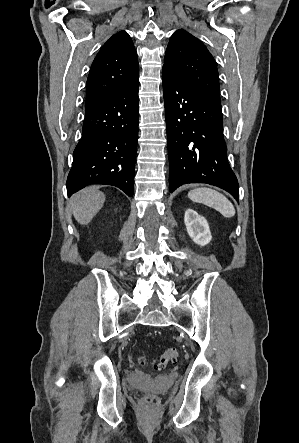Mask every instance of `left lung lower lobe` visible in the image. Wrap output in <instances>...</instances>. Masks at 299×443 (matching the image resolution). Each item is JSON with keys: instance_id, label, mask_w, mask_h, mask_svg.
<instances>
[{"instance_id": "0a47b994", "label": "left lung lower lobe", "mask_w": 299, "mask_h": 443, "mask_svg": "<svg viewBox=\"0 0 299 443\" xmlns=\"http://www.w3.org/2000/svg\"><path fill=\"white\" fill-rule=\"evenodd\" d=\"M169 152V191L185 183H207L239 199L228 164L221 105L163 69Z\"/></svg>"}]
</instances>
